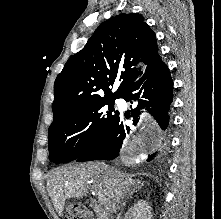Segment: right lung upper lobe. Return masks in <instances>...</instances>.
Instances as JSON below:
<instances>
[{
    "instance_id": "cb5924a9",
    "label": "right lung upper lobe",
    "mask_w": 221,
    "mask_h": 219,
    "mask_svg": "<svg viewBox=\"0 0 221 219\" xmlns=\"http://www.w3.org/2000/svg\"><path fill=\"white\" fill-rule=\"evenodd\" d=\"M158 57L155 33L142 16L122 13L104 21L57 76L53 122L86 104L120 98ZM116 78L121 84L112 93Z\"/></svg>"
}]
</instances>
